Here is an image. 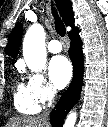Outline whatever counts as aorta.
Listing matches in <instances>:
<instances>
[{
	"label": "aorta",
	"mask_w": 108,
	"mask_h": 127,
	"mask_svg": "<svg viewBox=\"0 0 108 127\" xmlns=\"http://www.w3.org/2000/svg\"><path fill=\"white\" fill-rule=\"evenodd\" d=\"M23 57L27 67L33 72H40L46 65L45 30L40 24H33L27 30L23 40ZM77 113L72 111L67 116L64 127H74Z\"/></svg>",
	"instance_id": "762f6f07"
}]
</instances>
